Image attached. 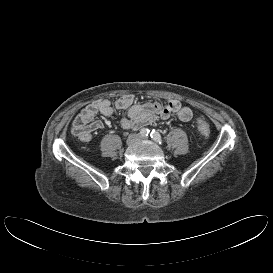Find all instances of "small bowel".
I'll return each instance as SVG.
<instances>
[{
  "mask_svg": "<svg viewBox=\"0 0 273 273\" xmlns=\"http://www.w3.org/2000/svg\"><path fill=\"white\" fill-rule=\"evenodd\" d=\"M127 109V117L120 120L124 129H138L151 124L158 118L166 119L175 115L179 120L187 122L192 118V111L177 100L163 103L149 102L146 104L134 103L132 96L126 95L114 103L107 99L95 101L86 106L74 119L71 132L82 142H89L93 132L102 129L104 124L96 116H112L115 110Z\"/></svg>",
  "mask_w": 273,
  "mask_h": 273,
  "instance_id": "obj_1",
  "label": "small bowel"
}]
</instances>
